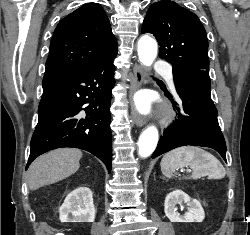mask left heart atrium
I'll list each match as a JSON object with an SVG mask.
<instances>
[{
  "label": "left heart atrium",
  "instance_id": "1",
  "mask_svg": "<svg viewBox=\"0 0 250 235\" xmlns=\"http://www.w3.org/2000/svg\"><path fill=\"white\" fill-rule=\"evenodd\" d=\"M140 105H141V107H144V103L143 102H141Z\"/></svg>",
  "mask_w": 250,
  "mask_h": 235
}]
</instances>
